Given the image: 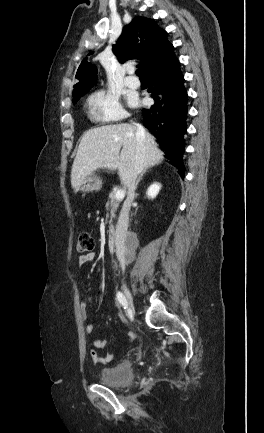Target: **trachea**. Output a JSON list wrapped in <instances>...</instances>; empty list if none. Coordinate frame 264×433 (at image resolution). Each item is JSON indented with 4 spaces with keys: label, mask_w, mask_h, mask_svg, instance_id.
<instances>
[{
    "label": "trachea",
    "mask_w": 264,
    "mask_h": 433,
    "mask_svg": "<svg viewBox=\"0 0 264 433\" xmlns=\"http://www.w3.org/2000/svg\"><path fill=\"white\" fill-rule=\"evenodd\" d=\"M136 75L139 76L140 78H143V75L141 73V71L139 69L136 70Z\"/></svg>",
    "instance_id": "trachea-1"
}]
</instances>
